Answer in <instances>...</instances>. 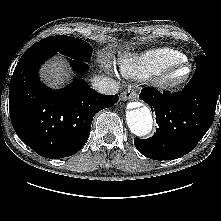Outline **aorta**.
Masks as SVG:
<instances>
[{"label":"aorta","instance_id":"1","mask_svg":"<svg viewBox=\"0 0 221 221\" xmlns=\"http://www.w3.org/2000/svg\"><path fill=\"white\" fill-rule=\"evenodd\" d=\"M126 121L130 131L139 137L149 134L153 127L152 114L146 106L128 110Z\"/></svg>","mask_w":221,"mask_h":221}]
</instances>
